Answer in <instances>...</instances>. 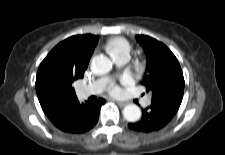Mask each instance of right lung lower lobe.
I'll use <instances>...</instances> for the list:
<instances>
[{"instance_id":"98d812e1","label":"right lung lower lobe","mask_w":225,"mask_h":155,"mask_svg":"<svg viewBox=\"0 0 225 155\" xmlns=\"http://www.w3.org/2000/svg\"><path fill=\"white\" fill-rule=\"evenodd\" d=\"M105 100L100 98L96 103H82L78 101L62 106L51 114L49 119L64 132L85 133L98 121L99 110Z\"/></svg>"}]
</instances>
